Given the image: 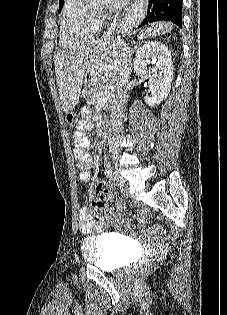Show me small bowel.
Returning a JSON list of instances; mask_svg holds the SVG:
<instances>
[{
    "label": "small bowel",
    "instance_id": "1",
    "mask_svg": "<svg viewBox=\"0 0 227 315\" xmlns=\"http://www.w3.org/2000/svg\"><path fill=\"white\" fill-rule=\"evenodd\" d=\"M90 125V113L89 111L83 112V120L78 125L76 131L72 135L73 140V153L77 163L78 168L80 169V179L83 182H88L91 177L90 162L89 157L86 153V149L89 146V140L87 138V131ZM103 186V184L99 183ZM125 202L120 200L116 203L115 207L112 208V214L110 221L107 224L101 223L96 220L91 210L84 206L79 210V228L84 233H99L102 228L106 225H109L113 221L120 219L121 213L125 210ZM139 229L148 236H154L161 234L163 229L160 227L151 228L147 226L144 222L139 224ZM166 243L162 240L156 242V247L163 249L165 248Z\"/></svg>",
    "mask_w": 227,
    "mask_h": 315
}]
</instances>
